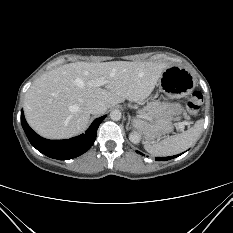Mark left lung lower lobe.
I'll return each instance as SVG.
<instances>
[{"mask_svg":"<svg viewBox=\"0 0 233 233\" xmlns=\"http://www.w3.org/2000/svg\"><path fill=\"white\" fill-rule=\"evenodd\" d=\"M140 154H142V153H140ZM177 156H179V155L170 156V157H162V158L157 157L156 160H158V161H160V160L165 161V160H170V159H172V158H175V157H177Z\"/></svg>","mask_w":233,"mask_h":233,"instance_id":"0a47b994","label":"left lung lower lobe"}]
</instances>
